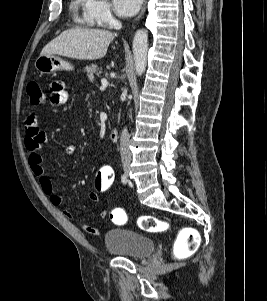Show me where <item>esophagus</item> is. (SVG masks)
I'll return each mask as SVG.
<instances>
[{
    "instance_id": "1",
    "label": "esophagus",
    "mask_w": 267,
    "mask_h": 301,
    "mask_svg": "<svg viewBox=\"0 0 267 301\" xmlns=\"http://www.w3.org/2000/svg\"><path fill=\"white\" fill-rule=\"evenodd\" d=\"M145 1H146V0H145ZM144 10H145V8L143 7L142 10H141V13L139 14V16H138V18L136 19V21H138V20L141 18V16H142L143 13H144Z\"/></svg>"
}]
</instances>
